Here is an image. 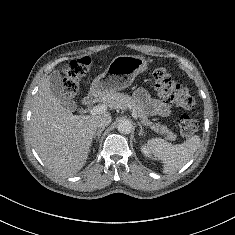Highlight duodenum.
<instances>
[{
	"label": "duodenum",
	"mask_w": 235,
	"mask_h": 235,
	"mask_svg": "<svg viewBox=\"0 0 235 235\" xmlns=\"http://www.w3.org/2000/svg\"><path fill=\"white\" fill-rule=\"evenodd\" d=\"M98 99V95L95 91L89 92L83 99V105L84 106H91L94 103H96Z\"/></svg>",
	"instance_id": "duodenum-1"
}]
</instances>
